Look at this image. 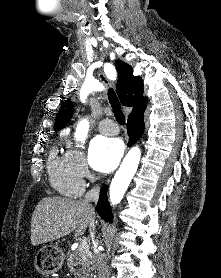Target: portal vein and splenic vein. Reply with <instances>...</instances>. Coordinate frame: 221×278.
<instances>
[{"label": "portal vein and splenic vein", "mask_w": 221, "mask_h": 278, "mask_svg": "<svg viewBox=\"0 0 221 278\" xmlns=\"http://www.w3.org/2000/svg\"><path fill=\"white\" fill-rule=\"evenodd\" d=\"M79 242H80V246H79V248L81 249V250H88L89 249V245H88V243H87V241H86V239H79Z\"/></svg>", "instance_id": "18ae733b"}]
</instances>
